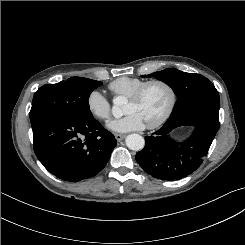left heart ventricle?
I'll list each match as a JSON object with an SVG mask.
<instances>
[{"instance_id":"b2bd125f","label":"left heart ventricle","mask_w":245,"mask_h":245,"mask_svg":"<svg viewBox=\"0 0 245 245\" xmlns=\"http://www.w3.org/2000/svg\"><path fill=\"white\" fill-rule=\"evenodd\" d=\"M168 104V91L160 85H153L146 90L139 101L132 102L128 100L124 113H136L147 125L159 119L165 112Z\"/></svg>"}]
</instances>
